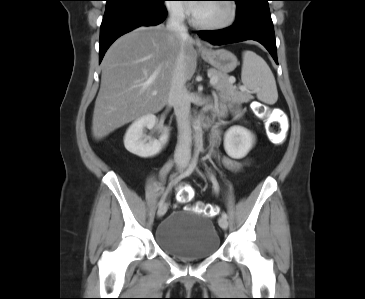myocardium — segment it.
<instances>
[{
    "mask_svg": "<svg viewBox=\"0 0 365 299\" xmlns=\"http://www.w3.org/2000/svg\"><path fill=\"white\" fill-rule=\"evenodd\" d=\"M230 6V16L229 18L222 22V23H217V24H207V23H203V22H200L194 12L192 14V23L194 26L200 28V29H204V30H209V31H218V30H223V29H226L230 26H232L236 20H237V17H238V5L236 3L235 0H226Z\"/></svg>",
    "mask_w": 365,
    "mask_h": 299,
    "instance_id": "1",
    "label": "myocardium"
}]
</instances>
